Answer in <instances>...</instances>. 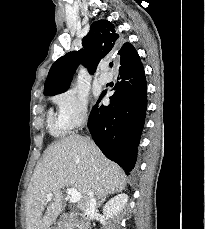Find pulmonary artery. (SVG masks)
I'll return each mask as SVG.
<instances>
[{
    "label": "pulmonary artery",
    "mask_w": 205,
    "mask_h": 229,
    "mask_svg": "<svg viewBox=\"0 0 205 229\" xmlns=\"http://www.w3.org/2000/svg\"><path fill=\"white\" fill-rule=\"evenodd\" d=\"M107 81H108L107 78H102V79H100V83H101V84H105Z\"/></svg>",
    "instance_id": "pulmonary-artery-1"
}]
</instances>
